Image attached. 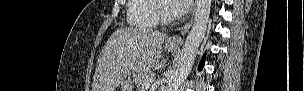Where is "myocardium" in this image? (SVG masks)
Listing matches in <instances>:
<instances>
[{"label": "myocardium", "mask_w": 304, "mask_h": 91, "mask_svg": "<svg viewBox=\"0 0 304 91\" xmlns=\"http://www.w3.org/2000/svg\"><path fill=\"white\" fill-rule=\"evenodd\" d=\"M170 3H171V1L159 0V1H157V5H156L157 18L159 19V21L162 24H165V25L171 24V23L175 22V20L177 19L176 14H171L169 12L168 5Z\"/></svg>", "instance_id": "f54148a6"}]
</instances>
